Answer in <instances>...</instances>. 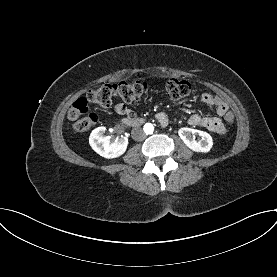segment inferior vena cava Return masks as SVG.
<instances>
[{"mask_svg": "<svg viewBox=\"0 0 277 277\" xmlns=\"http://www.w3.org/2000/svg\"><path fill=\"white\" fill-rule=\"evenodd\" d=\"M131 134H132V138L135 141H141V140L145 139V137H146V133L143 131V129L141 127L133 128L131 131Z\"/></svg>", "mask_w": 277, "mask_h": 277, "instance_id": "obj_1", "label": "inferior vena cava"}]
</instances>
